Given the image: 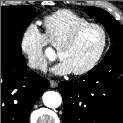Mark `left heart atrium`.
Segmentation results:
<instances>
[{"label": "left heart atrium", "mask_w": 123, "mask_h": 123, "mask_svg": "<svg viewBox=\"0 0 123 123\" xmlns=\"http://www.w3.org/2000/svg\"><path fill=\"white\" fill-rule=\"evenodd\" d=\"M52 72L56 75H66L73 71L66 61L60 59V61L52 68Z\"/></svg>", "instance_id": "obj_1"}]
</instances>
